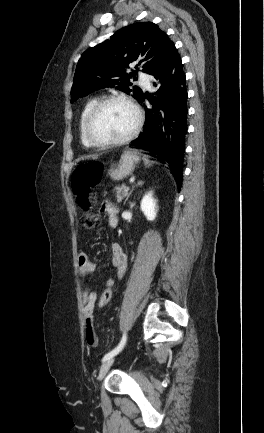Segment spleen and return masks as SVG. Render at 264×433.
Returning <instances> with one entry per match:
<instances>
[{
	"label": "spleen",
	"instance_id": "obj_1",
	"mask_svg": "<svg viewBox=\"0 0 264 433\" xmlns=\"http://www.w3.org/2000/svg\"><path fill=\"white\" fill-rule=\"evenodd\" d=\"M143 160L145 162V165H148V163H149L148 159L147 158H143Z\"/></svg>",
	"mask_w": 264,
	"mask_h": 433
}]
</instances>
